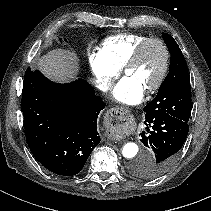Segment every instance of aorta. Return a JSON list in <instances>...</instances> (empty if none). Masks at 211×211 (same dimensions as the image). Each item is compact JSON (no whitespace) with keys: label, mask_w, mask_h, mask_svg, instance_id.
<instances>
[{"label":"aorta","mask_w":211,"mask_h":211,"mask_svg":"<svg viewBox=\"0 0 211 211\" xmlns=\"http://www.w3.org/2000/svg\"><path fill=\"white\" fill-rule=\"evenodd\" d=\"M139 151L138 146L133 142H128L123 146L122 154L127 159H133L137 156Z\"/></svg>","instance_id":"obj_1"}]
</instances>
